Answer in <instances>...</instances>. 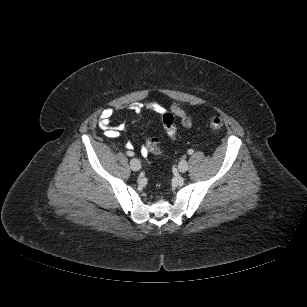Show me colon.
I'll return each instance as SVG.
<instances>
[{"label":"colon","instance_id":"1","mask_svg":"<svg viewBox=\"0 0 307 307\" xmlns=\"http://www.w3.org/2000/svg\"><path fill=\"white\" fill-rule=\"evenodd\" d=\"M162 122L166 133L169 137L174 138L176 136V125L173 116L170 113H162L161 114ZM224 125V121L222 118L218 116H213L209 119V126L212 129H220ZM146 150L153 154H160L161 149L159 145V140L156 137H151L147 140Z\"/></svg>","mask_w":307,"mask_h":307}]
</instances>
